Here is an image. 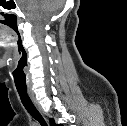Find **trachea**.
Masks as SVG:
<instances>
[{"label": "trachea", "instance_id": "obj_1", "mask_svg": "<svg viewBox=\"0 0 127 126\" xmlns=\"http://www.w3.org/2000/svg\"><path fill=\"white\" fill-rule=\"evenodd\" d=\"M18 94L20 96L21 102L24 105L25 109L29 112V114L37 120L41 126H47V123L45 122L44 118L42 115L39 113V111L36 109L34 106L33 102L31 101L27 89H21L17 88Z\"/></svg>", "mask_w": 127, "mask_h": 126}]
</instances>
